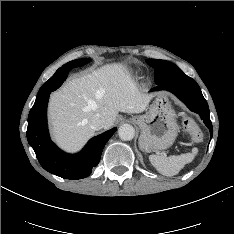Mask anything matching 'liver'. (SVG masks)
Masks as SVG:
<instances>
[{
  "instance_id": "6515ba94",
  "label": "liver",
  "mask_w": 234,
  "mask_h": 234,
  "mask_svg": "<svg viewBox=\"0 0 234 234\" xmlns=\"http://www.w3.org/2000/svg\"><path fill=\"white\" fill-rule=\"evenodd\" d=\"M152 94L137 87L120 64L107 65L67 82L49 101L54 140L67 151H76L94 135L91 118L99 113L104 128L113 126L118 112L141 113Z\"/></svg>"
}]
</instances>
